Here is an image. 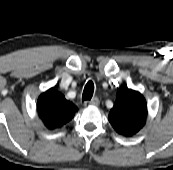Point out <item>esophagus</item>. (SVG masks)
<instances>
[{
    "label": "esophagus",
    "mask_w": 173,
    "mask_h": 170,
    "mask_svg": "<svg viewBox=\"0 0 173 170\" xmlns=\"http://www.w3.org/2000/svg\"><path fill=\"white\" fill-rule=\"evenodd\" d=\"M99 103H100L99 102V99L97 97H94L91 100L85 101L84 102V106L85 107H88V106H94V107H96V106L99 105Z\"/></svg>",
    "instance_id": "esophagus-1"
}]
</instances>
